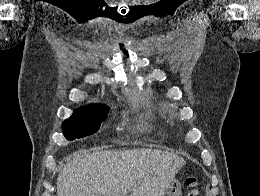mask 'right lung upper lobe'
Listing matches in <instances>:
<instances>
[{"label":"right lung upper lobe","instance_id":"right-lung-upper-lobe-1","mask_svg":"<svg viewBox=\"0 0 260 196\" xmlns=\"http://www.w3.org/2000/svg\"><path fill=\"white\" fill-rule=\"evenodd\" d=\"M76 110H88V111H93V110H107V108L101 104H97V105H89L85 108L82 109H76Z\"/></svg>","mask_w":260,"mask_h":196}]
</instances>
